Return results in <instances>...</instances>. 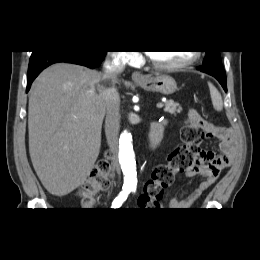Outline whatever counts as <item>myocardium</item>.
<instances>
[{"mask_svg": "<svg viewBox=\"0 0 260 260\" xmlns=\"http://www.w3.org/2000/svg\"><path fill=\"white\" fill-rule=\"evenodd\" d=\"M199 57H200V52L193 51L192 55L188 59L182 62L174 63V64H163L154 60L151 54H147V59L154 68L159 70H165V71H177V70L187 68L193 65L199 59Z\"/></svg>", "mask_w": 260, "mask_h": 260, "instance_id": "f54148a6", "label": "myocardium"}]
</instances>
